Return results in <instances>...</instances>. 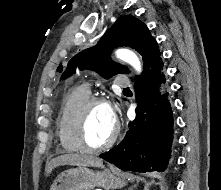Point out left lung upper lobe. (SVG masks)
<instances>
[{"instance_id": "5c2ea615", "label": "left lung upper lobe", "mask_w": 221, "mask_h": 190, "mask_svg": "<svg viewBox=\"0 0 221 190\" xmlns=\"http://www.w3.org/2000/svg\"><path fill=\"white\" fill-rule=\"evenodd\" d=\"M117 46H129L136 49L143 57L144 75L160 58L157 42L151 36L147 26L134 16L120 17L114 25L100 39L95 47L85 50L73 57L62 78L80 70L88 68L99 72L103 77L110 78L118 73H127L128 69L113 63L110 52Z\"/></svg>"}]
</instances>
